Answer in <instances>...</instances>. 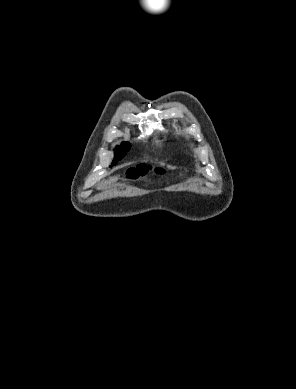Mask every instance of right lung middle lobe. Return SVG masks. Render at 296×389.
Segmentation results:
<instances>
[{
  "instance_id": "right-lung-middle-lobe-1",
  "label": "right lung middle lobe",
  "mask_w": 296,
  "mask_h": 389,
  "mask_svg": "<svg viewBox=\"0 0 296 389\" xmlns=\"http://www.w3.org/2000/svg\"><path fill=\"white\" fill-rule=\"evenodd\" d=\"M129 149V142H123L121 146L117 147L115 149V158L113 160L112 165H115L118 160H121L125 156L126 152L129 151Z\"/></svg>"
}]
</instances>
